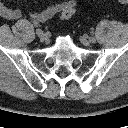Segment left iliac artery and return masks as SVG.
<instances>
[{"label":"left iliac artery","mask_w":128,"mask_h":128,"mask_svg":"<svg viewBox=\"0 0 128 128\" xmlns=\"http://www.w3.org/2000/svg\"><path fill=\"white\" fill-rule=\"evenodd\" d=\"M89 39H90V41H92V43H95V41H96V39L94 37H90Z\"/></svg>","instance_id":"1"}]
</instances>
